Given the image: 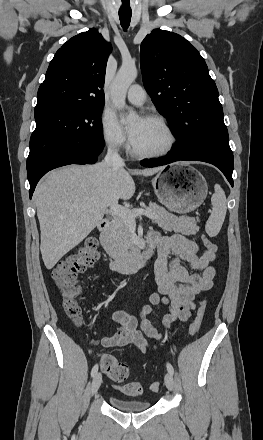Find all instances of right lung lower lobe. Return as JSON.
I'll return each mask as SVG.
<instances>
[{"mask_svg": "<svg viewBox=\"0 0 263 440\" xmlns=\"http://www.w3.org/2000/svg\"><path fill=\"white\" fill-rule=\"evenodd\" d=\"M104 148L101 143H77L69 147H61L45 156L41 161L27 168V176L30 183L29 195H33L34 189L48 171L69 164H92Z\"/></svg>", "mask_w": 263, "mask_h": 440, "instance_id": "98d812e1", "label": "right lung lower lobe"}]
</instances>
